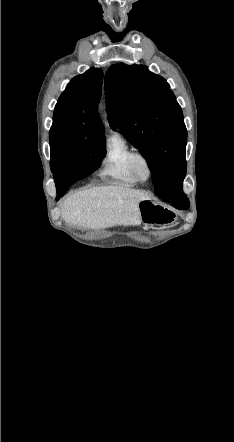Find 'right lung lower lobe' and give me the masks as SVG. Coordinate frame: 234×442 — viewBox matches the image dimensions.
I'll return each mask as SVG.
<instances>
[{"mask_svg": "<svg viewBox=\"0 0 234 442\" xmlns=\"http://www.w3.org/2000/svg\"><path fill=\"white\" fill-rule=\"evenodd\" d=\"M69 169L68 170H61L56 172L53 176L55 179V183H56V189H57V197L56 200H59L60 197H62L67 190L70 187V183L66 182L64 179L60 180L62 177H67L68 173H69ZM60 177V178H57Z\"/></svg>", "mask_w": 234, "mask_h": 442, "instance_id": "98d812e1", "label": "right lung lower lobe"}]
</instances>
